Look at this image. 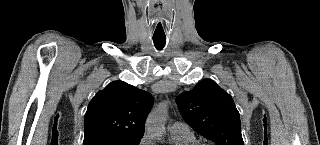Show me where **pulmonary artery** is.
<instances>
[{
  "instance_id": "obj_1",
  "label": "pulmonary artery",
  "mask_w": 320,
  "mask_h": 145,
  "mask_svg": "<svg viewBox=\"0 0 320 145\" xmlns=\"http://www.w3.org/2000/svg\"><path fill=\"white\" fill-rule=\"evenodd\" d=\"M170 134H188L192 133L190 127L183 122L176 121L169 126Z\"/></svg>"
}]
</instances>
